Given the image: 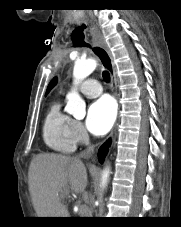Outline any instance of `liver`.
<instances>
[{
	"label": "liver",
	"instance_id": "obj_1",
	"mask_svg": "<svg viewBox=\"0 0 181 227\" xmlns=\"http://www.w3.org/2000/svg\"><path fill=\"white\" fill-rule=\"evenodd\" d=\"M29 190L38 217H68L63 200L70 189L82 193L87 186V169L74 157L43 153L31 161Z\"/></svg>",
	"mask_w": 181,
	"mask_h": 227
}]
</instances>
